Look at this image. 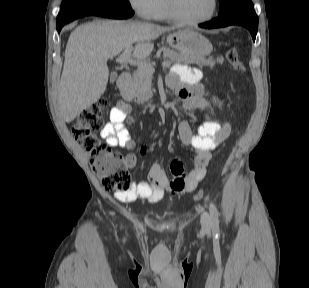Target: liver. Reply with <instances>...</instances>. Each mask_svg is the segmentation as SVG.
<instances>
[{
    "instance_id": "obj_1",
    "label": "liver",
    "mask_w": 309,
    "mask_h": 288,
    "mask_svg": "<svg viewBox=\"0 0 309 288\" xmlns=\"http://www.w3.org/2000/svg\"><path fill=\"white\" fill-rule=\"evenodd\" d=\"M173 28L128 21H95L76 27L68 39L57 101L63 119L70 123L97 102L106 90L107 60L127 47L137 59L148 57L153 40Z\"/></svg>"
}]
</instances>
